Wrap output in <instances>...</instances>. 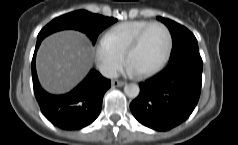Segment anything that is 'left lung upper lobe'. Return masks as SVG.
<instances>
[{
  "label": "left lung upper lobe",
  "instance_id": "1",
  "mask_svg": "<svg viewBox=\"0 0 238 145\" xmlns=\"http://www.w3.org/2000/svg\"><path fill=\"white\" fill-rule=\"evenodd\" d=\"M157 19L168 27L172 36V51L170 60L177 58L185 52L198 50L197 40L193 33H191L187 28L170 19L162 17H157Z\"/></svg>",
  "mask_w": 238,
  "mask_h": 145
}]
</instances>
